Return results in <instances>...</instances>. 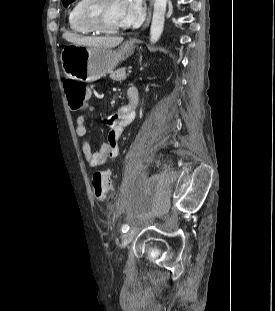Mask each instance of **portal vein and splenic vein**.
<instances>
[{
	"label": "portal vein and splenic vein",
	"mask_w": 275,
	"mask_h": 311,
	"mask_svg": "<svg viewBox=\"0 0 275 311\" xmlns=\"http://www.w3.org/2000/svg\"><path fill=\"white\" fill-rule=\"evenodd\" d=\"M132 72V70H128V74H130Z\"/></svg>",
	"instance_id": "18ae733b"
}]
</instances>
